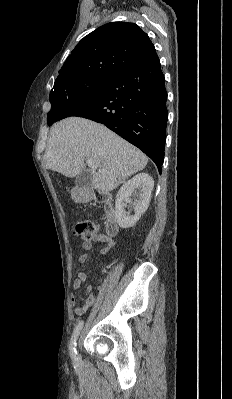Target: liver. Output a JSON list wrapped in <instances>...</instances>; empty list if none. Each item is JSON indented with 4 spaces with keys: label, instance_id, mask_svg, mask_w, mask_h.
<instances>
[{
    "label": "liver",
    "instance_id": "obj_1",
    "mask_svg": "<svg viewBox=\"0 0 232 399\" xmlns=\"http://www.w3.org/2000/svg\"><path fill=\"white\" fill-rule=\"evenodd\" d=\"M84 160L95 162L91 168L92 186L100 192H111L129 176L144 170L148 158L138 148L117 134L85 118H66L51 128L43 162L47 170L76 178L84 168Z\"/></svg>",
    "mask_w": 232,
    "mask_h": 399
}]
</instances>
